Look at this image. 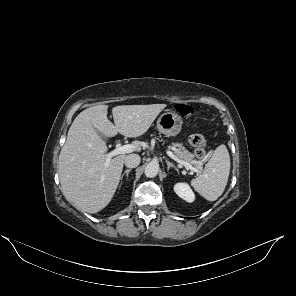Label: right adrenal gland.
<instances>
[{
	"label": "right adrenal gland",
	"instance_id": "right-adrenal-gland-1",
	"mask_svg": "<svg viewBox=\"0 0 296 296\" xmlns=\"http://www.w3.org/2000/svg\"><path fill=\"white\" fill-rule=\"evenodd\" d=\"M130 171H131V169L125 170L124 173L121 176V180L123 179L124 175H126V177H128Z\"/></svg>",
	"mask_w": 296,
	"mask_h": 296
}]
</instances>
